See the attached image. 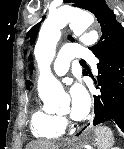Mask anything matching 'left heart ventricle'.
<instances>
[{"mask_svg":"<svg viewBox=\"0 0 124 149\" xmlns=\"http://www.w3.org/2000/svg\"><path fill=\"white\" fill-rule=\"evenodd\" d=\"M69 113V106H67L66 108H65V111L63 112V115H67Z\"/></svg>","mask_w":124,"mask_h":149,"instance_id":"obj_1","label":"left heart ventricle"}]
</instances>
